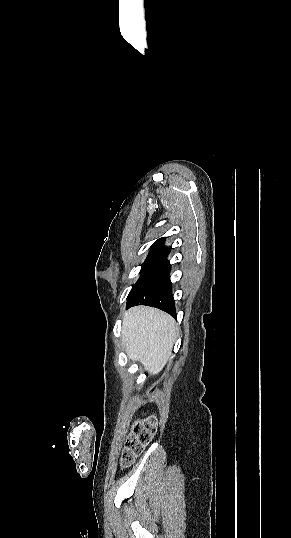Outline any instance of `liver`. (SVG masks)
<instances>
[{
  "instance_id": "liver-1",
  "label": "liver",
  "mask_w": 291,
  "mask_h": 538,
  "mask_svg": "<svg viewBox=\"0 0 291 538\" xmlns=\"http://www.w3.org/2000/svg\"><path fill=\"white\" fill-rule=\"evenodd\" d=\"M122 336L128 357L141 363L149 374L155 375L171 356L177 326L165 312L137 306L125 312Z\"/></svg>"
}]
</instances>
